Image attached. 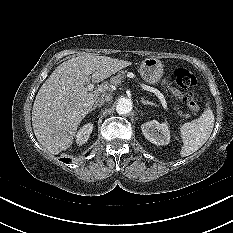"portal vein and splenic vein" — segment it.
<instances>
[{
  "instance_id": "1",
  "label": "portal vein and splenic vein",
  "mask_w": 233,
  "mask_h": 233,
  "mask_svg": "<svg viewBox=\"0 0 233 233\" xmlns=\"http://www.w3.org/2000/svg\"><path fill=\"white\" fill-rule=\"evenodd\" d=\"M141 87L143 89L147 90V91L153 92L159 98V100L161 101V104H162L163 108L167 109V103L165 101V98H164L163 94L160 93V91H158L157 89L152 88L150 86L144 85V84H141ZM93 88H94L93 84H89V85L86 86V89L89 90V91L93 90Z\"/></svg>"
}]
</instances>
